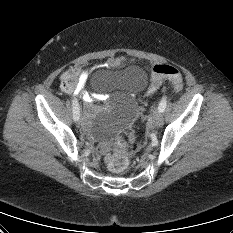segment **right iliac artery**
Wrapping results in <instances>:
<instances>
[{"instance_id": "obj_1", "label": "right iliac artery", "mask_w": 233, "mask_h": 233, "mask_svg": "<svg viewBox=\"0 0 233 233\" xmlns=\"http://www.w3.org/2000/svg\"><path fill=\"white\" fill-rule=\"evenodd\" d=\"M72 106H73V119L74 121H77L80 116V108H79V103L75 98L72 100Z\"/></svg>"}]
</instances>
